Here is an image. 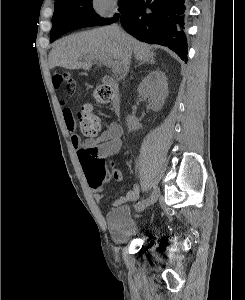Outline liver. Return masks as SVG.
<instances>
[{
  "label": "liver",
  "instance_id": "6515ba94",
  "mask_svg": "<svg viewBox=\"0 0 245 300\" xmlns=\"http://www.w3.org/2000/svg\"><path fill=\"white\" fill-rule=\"evenodd\" d=\"M133 54L139 61L150 60L155 55L150 46L137 41L116 26H107L73 34L58 41L49 53V67L89 71L93 61L109 59L127 72Z\"/></svg>",
  "mask_w": 245,
  "mask_h": 300
}]
</instances>
